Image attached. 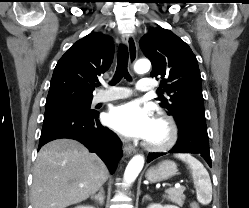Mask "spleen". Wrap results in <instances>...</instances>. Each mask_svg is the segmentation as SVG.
Returning a JSON list of instances; mask_svg holds the SVG:
<instances>
[{
	"mask_svg": "<svg viewBox=\"0 0 249 208\" xmlns=\"http://www.w3.org/2000/svg\"><path fill=\"white\" fill-rule=\"evenodd\" d=\"M175 157L189 165L196 188L197 200L203 205L209 204L212 200V184L209 173L203 164L190 154L180 153L176 154Z\"/></svg>",
	"mask_w": 249,
	"mask_h": 208,
	"instance_id": "3e777b00",
	"label": "spleen"
}]
</instances>
